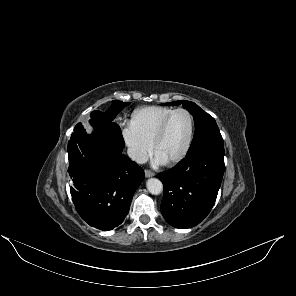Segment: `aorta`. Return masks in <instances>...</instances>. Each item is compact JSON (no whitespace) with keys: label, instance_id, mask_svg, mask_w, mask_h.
I'll use <instances>...</instances> for the list:
<instances>
[{"label":"aorta","instance_id":"1","mask_svg":"<svg viewBox=\"0 0 296 296\" xmlns=\"http://www.w3.org/2000/svg\"><path fill=\"white\" fill-rule=\"evenodd\" d=\"M146 187L151 194L158 195L163 190L162 182L157 178H150L146 182Z\"/></svg>","mask_w":296,"mask_h":296}]
</instances>
